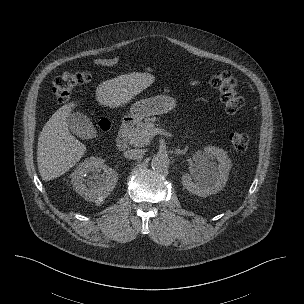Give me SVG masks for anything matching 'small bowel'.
<instances>
[{"instance_id":"1","label":"small bowel","mask_w":304,"mask_h":304,"mask_svg":"<svg viewBox=\"0 0 304 304\" xmlns=\"http://www.w3.org/2000/svg\"><path fill=\"white\" fill-rule=\"evenodd\" d=\"M119 58L118 57H111V58H100V59H95L93 63L97 66H103V67H112L118 64ZM191 84L196 86L198 85L197 80H192Z\"/></svg>"}]
</instances>
